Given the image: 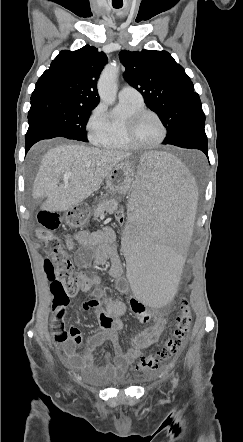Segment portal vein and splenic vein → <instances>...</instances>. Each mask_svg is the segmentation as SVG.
Masks as SVG:
<instances>
[{
  "mask_svg": "<svg viewBox=\"0 0 243 442\" xmlns=\"http://www.w3.org/2000/svg\"><path fill=\"white\" fill-rule=\"evenodd\" d=\"M71 177V173L64 174V180H68Z\"/></svg>",
  "mask_w": 243,
  "mask_h": 442,
  "instance_id": "portal-vein-and-splenic-vein-1",
  "label": "portal vein and splenic vein"
}]
</instances>
